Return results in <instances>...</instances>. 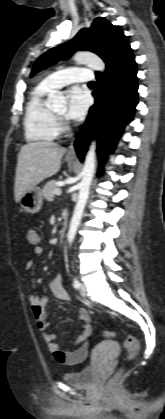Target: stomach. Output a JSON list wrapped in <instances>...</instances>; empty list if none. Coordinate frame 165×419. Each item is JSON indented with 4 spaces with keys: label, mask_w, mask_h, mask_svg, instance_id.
<instances>
[{
    "label": "stomach",
    "mask_w": 165,
    "mask_h": 419,
    "mask_svg": "<svg viewBox=\"0 0 165 419\" xmlns=\"http://www.w3.org/2000/svg\"><path fill=\"white\" fill-rule=\"evenodd\" d=\"M19 203L27 213L35 214L39 212L43 203L42 190L39 187L35 186L25 191L21 195Z\"/></svg>",
    "instance_id": "0dacf381"
}]
</instances>
